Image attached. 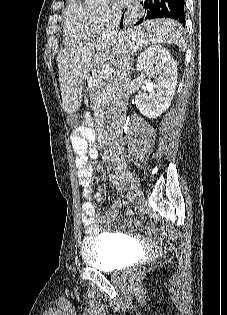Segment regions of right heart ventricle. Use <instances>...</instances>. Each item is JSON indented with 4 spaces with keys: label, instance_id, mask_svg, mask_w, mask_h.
<instances>
[{
    "label": "right heart ventricle",
    "instance_id": "e07e8e85",
    "mask_svg": "<svg viewBox=\"0 0 227 315\" xmlns=\"http://www.w3.org/2000/svg\"><path fill=\"white\" fill-rule=\"evenodd\" d=\"M64 42L76 45L96 36L101 31L96 10L82 0H67L62 13Z\"/></svg>",
    "mask_w": 227,
    "mask_h": 315
}]
</instances>
